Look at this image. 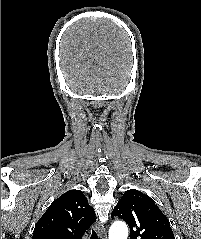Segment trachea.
Listing matches in <instances>:
<instances>
[{
    "label": "trachea",
    "instance_id": "1",
    "mask_svg": "<svg viewBox=\"0 0 201 239\" xmlns=\"http://www.w3.org/2000/svg\"><path fill=\"white\" fill-rule=\"evenodd\" d=\"M90 239H100L97 235V233L95 232V230L92 229V234H91V237Z\"/></svg>",
    "mask_w": 201,
    "mask_h": 239
}]
</instances>
